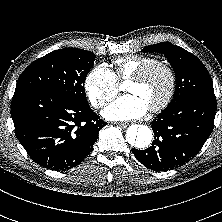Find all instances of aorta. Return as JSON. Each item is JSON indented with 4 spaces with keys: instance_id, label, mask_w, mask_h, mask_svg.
<instances>
[{
    "instance_id": "aorta-1",
    "label": "aorta",
    "mask_w": 222,
    "mask_h": 222,
    "mask_svg": "<svg viewBox=\"0 0 222 222\" xmlns=\"http://www.w3.org/2000/svg\"><path fill=\"white\" fill-rule=\"evenodd\" d=\"M152 139V130L146 125H132L126 131V141L132 148L146 149Z\"/></svg>"
}]
</instances>
